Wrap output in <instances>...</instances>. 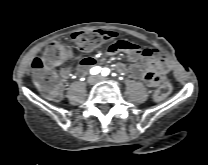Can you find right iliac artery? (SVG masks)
Segmentation results:
<instances>
[{
  "label": "right iliac artery",
  "instance_id": "obj_1",
  "mask_svg": "<svg viewBox=\"0 0 208 165\" xmlns=\"http://www.w3.org/2000/svg\"><path fill=\"white\" fill-rule=\"evenodd\" d=\"M100 71H101V68L98 67V66H96V67H93V68L91 69L90 73H91L92 75H96V74H98Z\"/></svg>",
  "mask_w": 208,
  "mask_h": 165
}]
</instances>
